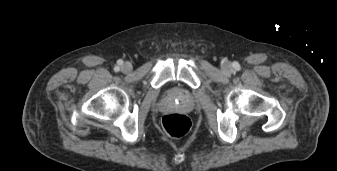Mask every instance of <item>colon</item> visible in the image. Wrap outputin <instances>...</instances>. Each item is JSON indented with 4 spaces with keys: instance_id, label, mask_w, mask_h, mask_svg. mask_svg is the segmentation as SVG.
Listing matches in <instances>:
<instances>
[{
    "instance_id": "colon-1",
    "label": "colon",
    "mask_w": 337,
    "mask_h": 171,
    "mask_svg": "<svg viewBox=\"0 0 337 171\" xmlns=\"http://www.w3.org/2000/svg\"><path fill=\"white\" fill-rule=\"evenodd\" d=\"M162 125L168 135L180 138L189 133L192 122L186 115L172 113L163 117Z\"/></svg>"
}]
</instances>
